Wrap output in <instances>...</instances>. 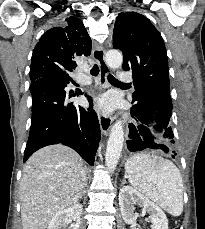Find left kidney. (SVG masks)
I'll return each mask as SVG.
<instances>
[{
    "mask_svg": "<svg viewBox=\"0 0 205 229\" xmlns=\"http://www.w3.org/2000/svg\"><path fill=\"white\" fill-rule=\"evenodd\" d=\"M119 206L123 220L127 224H136L138 214L135 213V206H139L142 207L143 214L150 215L151 229H168V220L162 209L131 186L120 189Z\"/></svg>",
    "mask_w": 205,
    "mask_h": 229,
    "instance_id": "obj_1",
    "label": "left kidney"
}]
</instances>
